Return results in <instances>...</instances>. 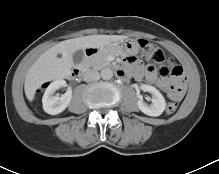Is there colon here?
Returning <instances> with one entry per match:
<instances>
[{
    "instance_id": "5ec220e1",
    "label": "colon",
    "mask_w": 219,
    "mask_h": 174,
    "mask_svg": "<svg viewBox=\"0 0 219 174\" xmlns=\"http://www.w3.org/2000/svg\"><path fill=\"white\" fill-rule=\"evenodd\" d=\"M140 56L150 65H158V73L161 77L172 76L182 79L184 74L181 68H169L165 63L166 56L162 49L147 40H139ZM177 109V105L170 102L166 106V113L173 114Z\"/></svg>"
}]
</instances>
